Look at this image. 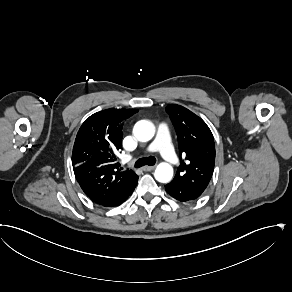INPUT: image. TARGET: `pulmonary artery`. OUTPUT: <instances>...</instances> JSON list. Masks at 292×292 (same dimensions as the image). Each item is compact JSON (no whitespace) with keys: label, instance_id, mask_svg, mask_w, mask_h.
Instances as JSON below:
<instances>
[{"label":"pulmonary artery","instance_id":"1","mask_svg":"<svg viewBox=\"0 0 292 292\" xmlns=\"http://www.w3.org/2000/svg\"><path fill=\"white\" fill-rule=\"evenodd\" d=\"M172 126V121L169 118H164L160 122V127L163 130H159L154 139V143L147 145L145 150L140 149L139 151H134L132 156L138 158L144 154L149 155L152 150L156 149L162 151V156L167 160L170 165H175L178 162V157L174 154V146L171 141V131L169 128Z\"/></svg>","mask_w":292,"mask_h":292}]
</instances>
